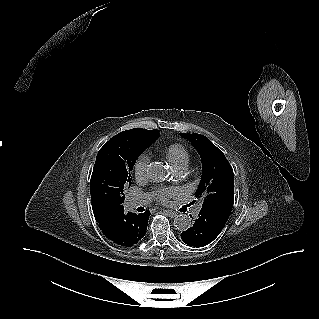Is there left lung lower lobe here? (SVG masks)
Masks as SVG:
<instances>
[{
    "label": "left lung lower lobe",
    "instance_id": "0a47b994",
    "mask_svg": "<svg viewBox=\"0 0 319 319\" xmlns=\"http://www.w3.org/2000/svg\"><path fill=\"white\" fill-rule=\"evenodd\" d=\"M233 204H215L201 208L193 226L181 233L184 243L203 247L211 243L222 231Z\"/></svg>",
    "mask_w": 319,
    "mask_h": 319
}]
</instances>
